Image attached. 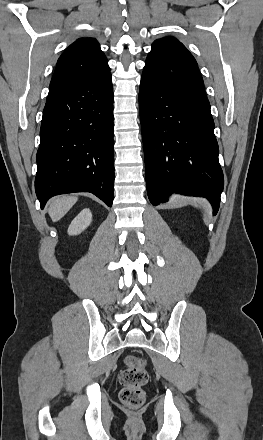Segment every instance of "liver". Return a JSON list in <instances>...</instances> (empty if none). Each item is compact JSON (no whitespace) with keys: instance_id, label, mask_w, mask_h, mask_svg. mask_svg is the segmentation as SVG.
I'll return each mask as SVG.
<instances>
[{"instance_id":"1","label":"liver","mask_w":263,"mask_h":440,"mask_svg":"<svg viewBox=\"0 0 263 440\" xmlns=\"http://www.w3.org/2000/svg\"><path fill=\"white\" fill-rule=\"evenodd\" d=\"M74 196H60L50 202L48 213L53 222L59 221L77 202Z\"/></svg>"}]
</instances>
